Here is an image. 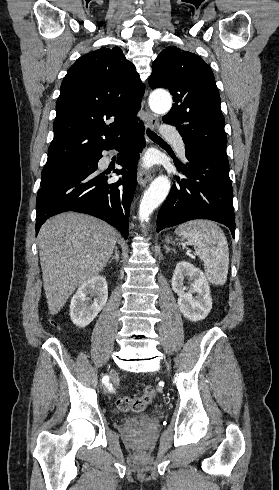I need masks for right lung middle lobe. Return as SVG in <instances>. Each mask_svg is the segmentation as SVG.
Listing matches in <instances>:
<instances>
[{"instance_id": "obj_1", "label": "right lung middle lobe", "mask_w": 279, "mask_h": 490, "mask_svg": "<svg viewBox=\"0 0 279 490\" xmlns=\"http://www.w3.org/2000/svg\"><path fill=\"white\" fill-rule=\"evenodd\" d=\"M88 159L72 160L54 164H46L42 170L41 184L49 182L51 180L75 173L86 171L88 167Z\"/></svg>"}]
</instances>
